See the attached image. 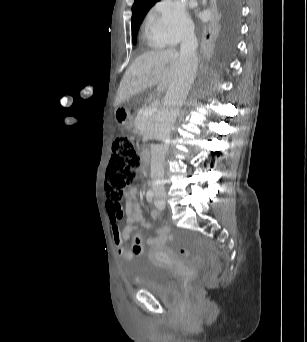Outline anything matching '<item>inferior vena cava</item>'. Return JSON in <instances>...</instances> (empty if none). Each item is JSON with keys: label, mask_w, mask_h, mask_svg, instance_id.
Masks as SVG:
<instances>
[{"label": "inferior vena cava", "mask_w": 307, "mask_h": 342, "mask_svg": "<svg viewBox=\"0 0 307 342\" xmlns=\"http://www.w3.org/2000/svg\"><path fill=\"white\" fill-rule=\"evenodd\" d=\"M197 46L198 42L193 30L186 32L180 46V58L175 78L165 94L164 112L156 128V136L162 144L151 148V184L154 192L165 194V154L169 148L170 134L177 120L179 108L184 104L194 82L198 62Z\"/></svg>", "instance_id": "inferior-vena-cava-1"}]
</instances>
